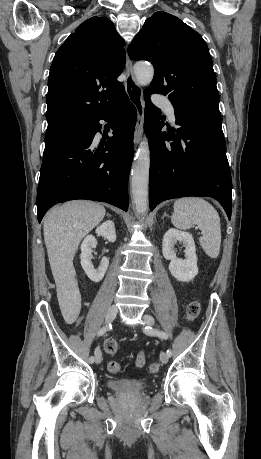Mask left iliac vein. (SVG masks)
<instances>
[{
  "label": "left iliac vein",
  "mask_w": 261,
  "mask_h": 459,
  "mask_svg": "<svg viewBox=\"0 0 261 459\" xmlns=\"http://www.w3.org/2000/svg\"><path fill=\"white\" fill-rule=\"evenodd\" d=\"M142 319H143V321L145 322V324H146L147 326H152V325H154V318H153L152 316L145 314V315H143ZM160 360H161V362L164 363V364L167 363L168 360H169L168 354L165 353V352H161V353H160Z\"/></svg>",
  "instance_id": "left-iliac-vein-1"
}]
</instances>
